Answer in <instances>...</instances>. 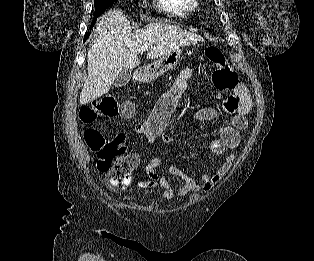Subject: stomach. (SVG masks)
Masks as SVG:
<instances>
[{"instance_id": "stomach-1", "label": "stomach", "mask_w": 314, "mask_h": 261, "mask_svg": "<svg viewBox=\"0 0 314 261\" xmlns=\"http://www.w3.org/2000/svg\"><path fill=\"white\" fill-rule=\"evenodd\" d=\"M181 54L182 50L179 48L144 66L136 72L137 80L143 83L155 81L176 66L180 60Z\"/></svg>"}]
</instances>
